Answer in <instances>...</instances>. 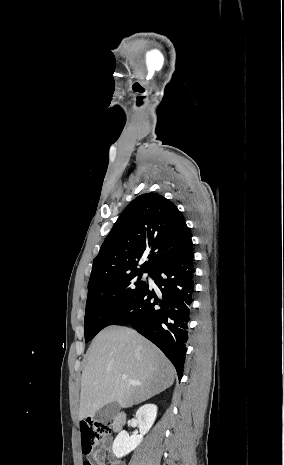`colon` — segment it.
<instances>
[{
  "label": "colon",
  "mask_w": 284,
  "mask_h": 465,
  "mask_svg": "<svg viewBox=\"0 0 284 465\" xmlns=\"http://www.w3.org/2000/svg\"><path fill=\"white\" fill-rule=\"evenodd\" d=\"M111 432L109 422H93L81 431V454L87 457L94 447L95 442L108 437ZM83 465H92L85 461Z\"/></svg>",
  "instance_id": "colon-1"
}]
</instances>
